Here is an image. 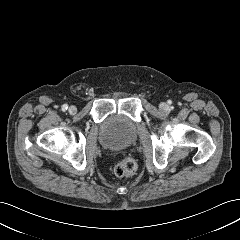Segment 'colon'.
<instances>
[{
    "label": "colon",
    "mask_w": 240,
    "mask_h": 240,
    "mask_svg": "<svg viewBox=\"0 0 240 240\" xmlns=\"http://www.w3.org/2000/svg\"><path fill=\"white\" fill-rule=\"evenodd\" d=\"M136 170L137 164L132 158H121L113 166V173L117 177H131Z\"/></svg>",
    "instance_id": "obj_1"
}]
</instances>
